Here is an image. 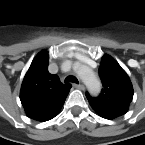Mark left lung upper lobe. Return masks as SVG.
Segmentation results:
<instances>
[{
  "instance_id": "obj_1",
  "label": "left lung upper lobe",
  "mask_w": 145,
  "mask_h": 145,
  "mask_svg": "<svg viewBox=\"0 0 145 145\" xmlns=\"http://www.w3.org/2000/svg\"><path fill=\"white\" fill-rule=\"evenodd\" d=\"M99 75L104 87L101 94L97 98L86 96L100 116L112 120L127 112L133 98V87L126 72L109 55L102 58Z\"/></svg>"
}]
</instances>
